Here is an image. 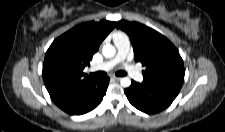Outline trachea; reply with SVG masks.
<instances>
[{
	"label": "trachea",
	"mask_w": 225,
	"mask_h": 132,
	"mask_svg": "<svg viewBox=\"0 0 225 132\" xmlns=\"http://www.w3.org/2000/svg\"><path fill=\"white\" fill-rule=\"evenodd\" d=\"M116 75L117 76H126L127 73L125 71H119L116 73ZM91 76L99 78V77L106 76V73L105 72H96V73L91 74Z\"/></svg>",
	"instance_id": "1"
}]
</instances>
